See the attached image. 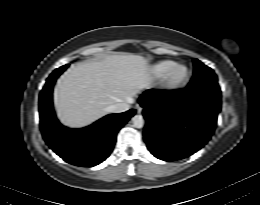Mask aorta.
I'll return each mask as SVG.
<instances>
[{"mask_svg": "<svg viewBox=\"0 0 260 205\" xmlns=\"http://www.w3.org/2000/svg\"><path fill=\"white\" fill-rule=\"evenodd\" d=\"M132 121H133V126L135 128H142L144 126V119L142 115L133 116Z\"/></svg>", "mask_w": 260, "mask_h": 205, "instance_id": "obj_1", "label": "aorta"}]
</instances>
